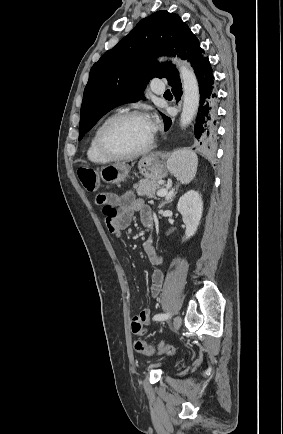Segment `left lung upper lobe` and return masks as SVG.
<instances>
[{
  "label": "left lung upper lobe",
  "instance_id": "obj_1",
  "mask_svg": "<svg viewBox=\"0 0 283 434\" xmlns=\"http://www.w3.org/2000/svg\"><path fill=\"white\" fill-rule=\"evenodd\" d=\"M204 53L179 15L162 10L142 19L92 66L80 110L79 140L113 108L142 99L150 79L166 78L170 86L180 82L175 65L154 58L176 55L195 69L207 58Z\"/></svg>",
  "mask_w": 283,
  "mask_h": 434
}]
</instances>
